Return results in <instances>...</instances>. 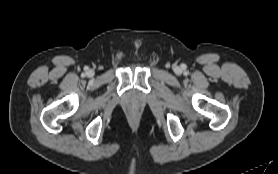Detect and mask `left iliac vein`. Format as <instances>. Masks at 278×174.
Instances as JSON below:
<instances>
[{
    "label": "left iliac vein",
    "instance_id": "1",
    "mask_svg": "<svg viewBox=\"0 0 278 174\" xmlns=\"http://www.w3.org/2000/svg\"><path fill=\"white\" fill-rule=\"evenodd\" d=\"M175 72H176V73H180V72H181V69H180L179 67H176V68H175Z\"/></svg>",
    "mask_w": 278,
    "mask_h": 174
}]
</instances>
